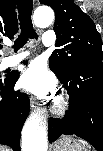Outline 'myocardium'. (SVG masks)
Returning <instances> with one entry per match:
<instances>
[{
	"label": "myocardium",
	"mask_w": 103,
	"mask_h": 151,
	"mask_svg": "<svg viewBox=\"0 0 103 151\" xmlns=\"http://www.w3.org/2000/svg\"><path fill=\"white\" fill-rule=\"evenodd\" d=\"M68 109V101L64 96H60L53 104L52 111L57 116H63Z\"/></svg>",
	"instance_id": "myocardium-1"
}]
</instances>
